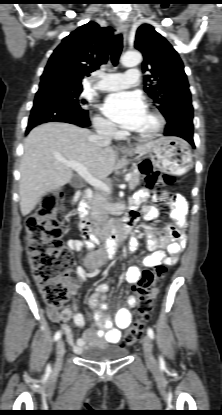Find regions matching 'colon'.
<instances>
[{
	"instance_id": "colon-1",
	"label": "colon",
	"mask_w": 222,
	"mask_h": 415,
	"mask_svg": "<svg viewBox=\"0 0 222 415\" xmlns=\"http://www.w3.org/2000/svg\"><path fill=\"white\" fill-rule=\"evenodd\" d=\"M145 187L170 186L175 180L172 176L162 175L148 164H142ZM57 190L43 196L39 208L26 221V243L29 265L46 304L60 309L68 300L74 288V257L71 250L64 246L61 226L65 220L57 210L60 196ZM76 225L81 227L80 222ZM83 231V230H82ZM87 238V232L83 231ZM164 267L145 269L136 284L139 304L136 311V323L124 334L123 344L132 345L142 334L150 319L154 306L155 283L163 276Z\"/></svg>"
}]
</instances>
